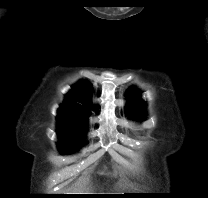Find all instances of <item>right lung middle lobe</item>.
<instances>
[{"instance_id": "obj_1", "label": "right lung middle lobe", "mask_w": 208, "mask_h": 198, "mask_svg": "<svg viewBox=\"0 0 208 198\" xmlns=\"http://www.w3.org/2000/svg\"><path fill=\"white\" fill-rule=\"evenodd\" d=\"M58 149L61 154H71L83 145L88 124L73 119H57Z\"/></svg>"}]
</instances>
